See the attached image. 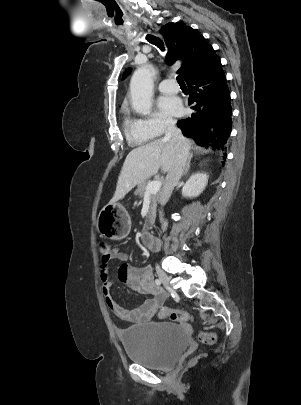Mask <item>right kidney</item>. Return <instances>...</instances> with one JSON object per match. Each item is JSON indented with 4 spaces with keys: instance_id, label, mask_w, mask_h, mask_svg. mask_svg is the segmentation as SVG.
<instances>
[{
    "instance_id": "obj_1",
    "label": "right kidney",
    "mask_w": 301,
    "mask_h": 405,
    "mask_svg": "<svg viewBox=\"0 0 301 405\" xmlns=\"http://www.w3.org/2000/svg\"><path fill=\"white\" fill-rule=\"evenodd\" d=\"M208 178L209 176L205 172L193 174L183 186V196L189 198L199 196L205 189L208 183Z\"/></svg>"
}]
</instances>
